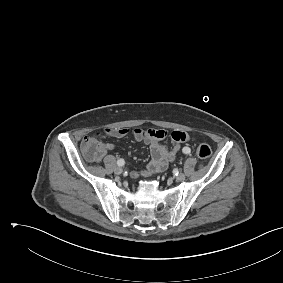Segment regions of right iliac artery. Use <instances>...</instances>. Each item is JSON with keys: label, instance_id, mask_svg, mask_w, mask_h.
I'll use <instances>...</instances> for the list:
<instances>
[{"label": "right iliac artery", "instance_id": "82829eb1", "mask_svg": "<svg viewBox=\"0 0 283 283\" xmlns=\"http://www.w3.org/2000/svg\"><path fill=\"white\" fill-rule=\"evenodd\" d=\"M124 164H125V161L123 159H119L117 161V165L120 166V167L124 166Z\"/></svg>", "mask_w": 283, "mask_h": 283}]
</instances>
